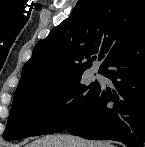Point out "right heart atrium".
Wrapping results in <instances>:
<instances>
[{
	"label": "right heart atrium",
	"mask_w": 145,
	"mask_h": 147,
	"mask_svg": "<svg viewBox=\"0 0 145 147\" xmlns=\"http://www.w3.org/2000/svg\"><path fill=\"white\" fill-rule=\"evenodd\" d=\"M64 103V97L60 92H50L45 98V110L47 114L54 116L62 110Z\"/></svg>",
	"instance_id": "obj_1"
}]
</instances>
